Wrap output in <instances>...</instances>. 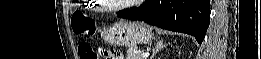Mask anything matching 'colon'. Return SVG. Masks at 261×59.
Segmentation results:
<instances>
[{
  "label": "colon",
  "mask_w": 261,
  "mask_h": 59,
  "mask_svg": "<svg viewBox=\"0 0 261 59\" xmlns=\"http://www.w3.org/2000/svg\"><path fill=\"white\" fill-rule=\"evenodd\" d=\"M72 30L77 35L91 37L95 35V21L83 15L82 13H74L71 19ZM78 52L81 59H98L101 55L105 59H114L115 54L104 49L94 50L89 44L81 43L78 47Z\"/></svg>",
  "instance_id": "colon-1"
}]
</instances>
